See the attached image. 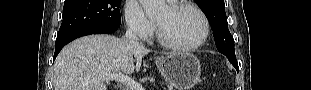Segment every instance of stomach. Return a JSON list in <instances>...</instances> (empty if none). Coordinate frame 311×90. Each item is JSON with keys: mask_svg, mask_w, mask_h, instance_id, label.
I'll return each instance as SVG.
<instances>
[{"mask_svg": "<svg viewBox=\"0 0 311 90\" xmlns=\"http://www.w3.org/2000/svg\"><path fill=\"white\" fill-rule=\"evenodd\" d=\"M156 65L166 82L176 90H190L200 79V62L188 52H172L158 57Z\"/></svg>", "mask_w": 311, "mask_h": 90, "instance_id": "stomach-1", "label": "stomach"}]
</instances>
